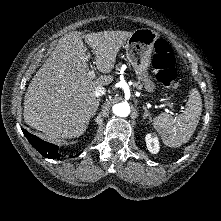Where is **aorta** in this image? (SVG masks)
<instances>
[{"instance_id": "1", "label": "aorta", "mask_w": 221, "mask_h": 221, "mask_svg": "<svg viewBox=\"0 0 221 221\" xmlns=\"http://www.w3.org/2000/svg\"><path fill=\"white\" fill-rule=\"evenodd\" d=\"M112 111L118 117H127L130 114V106L126 102L118 103L113 105Z\"/></svg>"}]
</instances>
